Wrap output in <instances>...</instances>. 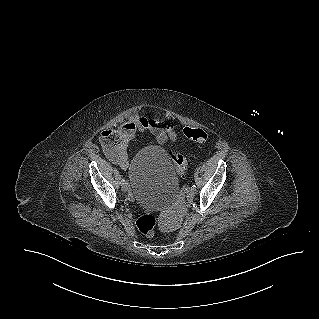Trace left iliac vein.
Wrapping results in <instances>:
<instances>
[{
  "label": "left iliac vein",
  "mask_w": 319,
  "mask_h": 319,
  "mask_svg": "<svg viewBox=\"0 0 319 319\" xmlns=\"http://www.w3.org/2000/svg\"><path fill=\"white\" fill-rule=\"evenodd\" d=\"M194 194H195V190H193L192 188L187 189V197L188 198H193Z\"/></svg>",
  "instance_id": "obj_1"
}]
</instances>
